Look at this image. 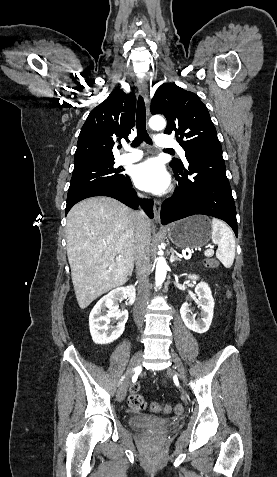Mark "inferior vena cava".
Listing matches in <instances>:
<instances>
[{
	"label": "inferior vena cava",
	"mask_w": 277,
	"mask_h": 477,
	"mask_svg": "<svg viewBox=\"0 0 277 477\" xmlns=\"http://www.w3.org/2000/svg\"><path fill=\"white\" fill-rule=\"evenodd\" d=\"M149 220L146 214L142 211L135 212V246L134 258L136 263V275L138 278V298L134 307V321L138 326L143 323V315L146 308V303L149 297V272H150V257H149V243L150 236L148 231Z\"/></svg>",
	"instance_id": "obj_1"
}]
</instances>
